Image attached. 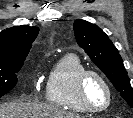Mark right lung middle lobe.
Masks as SVG:
<instances>
[{
	"label": "right lung middle lobe",
	"mask_w": 133,
	"mask_h": 118,
	"mask_svg": "<svg viewBox=\"0 0 133 118\" xmlns=\"http://www.w3.org/2000/svg\"><path fill=\"white\" fill-rule=\"evenodd\" d=\"M23 63L0 64V97L15 87L18 81L16 73L21 69Z\"/></svg>",
	"instance_id": "1"
}]
</instances>
